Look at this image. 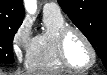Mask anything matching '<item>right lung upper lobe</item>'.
<instances>
[{"instance_id": "cb5924a9", "label": "right lung upper lobe", "mask_w": 107, "mask_h": 75, "mask_svg": "<svg viewBox=\"0 0 107 75\" xmlns=\"http://www.w3.org/2000/svg\"><path fill=\"white\" fill-rule=\"evenodd\" d=\"M23 17L21 0H0V27L22 23Z\"/></svg>"}]
</instances>
